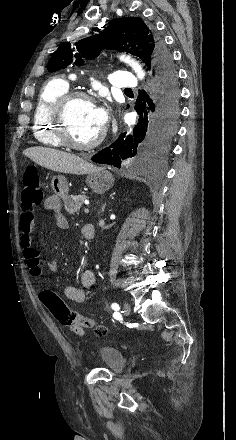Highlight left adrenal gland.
Segmentation results:
<instances>
[{"label":"left adrenal gland","instance_id":"a2214340","mask_svg":"<svg viewBox=\"0 0 236 440\" xmlns=\"http://www.w3.org/2000/svg\"><path fill=\"white\" fill-rule=\"evenodd\" d=\"M105 205L102 207V211L104 210Z\"/></svg>","mask_w":236,"mask_h":440}]
</instances>
